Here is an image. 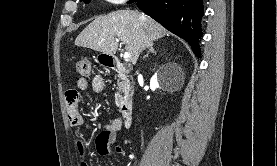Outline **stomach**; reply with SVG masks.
I'll return each instance as SVG.
<instances>
[{
    "label": "stomach",
    "mask_w": 277,
    "mask_h": 166,
    "mask_svg": "<svg viewBox=\"0 0 277 166\" xmlns=\"http://www.w3.org/2000/svg\"><path fill=\"white\" fill-rule=\"evenodd\" d=\"M109 56L110 55H107L105 53H100L97 56L96 60L99 63V65H101V66H107V65H109L110 59L112 58V57H109Z\"/></svg>",
    "instance_id": "0dacf381"
}]
</instances>
